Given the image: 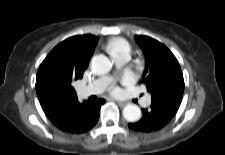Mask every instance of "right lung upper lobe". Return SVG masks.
I'll return each instance as SVG.
<instances>
[{
	"label": "right lung upper lobe",
	"instance_id": "1",
	"mask_svg": "<svg viewBox=\"0 0 225 155\" xmlns=\"http://www.w3.org/2000/svg\"><path fill=\"white\" fill-rule=\"evenodd\" d=\"M98 38L79 35L59 43L41 63L36 77L40 105L49 118L61 108L78 102L72 87L88 67Z\"/></svg>",
	"mask_w": 225,
	"mask_h": 155
}]
</instances>
